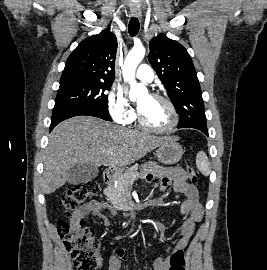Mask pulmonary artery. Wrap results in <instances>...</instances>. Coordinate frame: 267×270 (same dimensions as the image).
I'll return each mask as SVG.
<instances>
[{"label":"pulmonary artery","instance_id":"obj_1","mask_svg":"<svg viewBox=\"0 0 267 270\" xmlns=\"http://www.w3.org/2000/svg\"><path fill=\"white\" fill-rule=\"evenodd\" d=\"M136 77L141 81L151 82L154 79V72L149 65L141 64L136 71Z\"/></svg>","mask_w":267,"mask_h":270}]
</instances>
